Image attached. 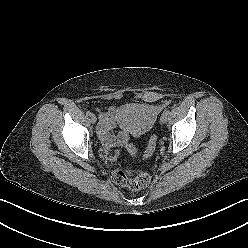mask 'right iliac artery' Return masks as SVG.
I'll return each mask as SVG.
<instances>
[{"mask_svg": "<svg viewBox=\"0 0 248 248\" xmlns=\"http://www.w3.org/2000/svg\"><path fill=\"white\" fill-rule=\"evenodd\" d=\"M91 114H92V113H91L90 111H87V112H86V115H87V116H90Z\"/></svg>", "mask_w": 248, "mask_h": 248, "instance_id": "right-iliac-artery-1", "label": "right iliac artery"}]
</instances>
